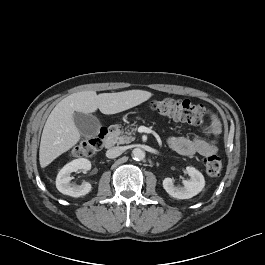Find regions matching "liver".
<instances>
[{"mask_svg": "<svg viewBox=\"0 0 265 265\" xmlns=\"http://www.w3.org/2000/svg\"><path fill=\"white\" fill-rule=\"evenodd\" d=\"M144 90L96 94L95 91L73 93L61 100L50 113L41 136L39 161L42 168L70 150L80 140L73 115L90 114L99 109L103 114H116L151 98Z\"/></svg>", "mask_w": 265, "mask_h": 265, "instance_id": "obj_1", "label": "liver"}]
</instances>
